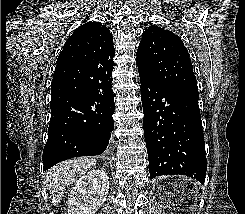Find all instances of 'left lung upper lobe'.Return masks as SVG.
Wrapping results in <instances>:
<instances>
[{"instance_id": "obj_1", "label": "left lung upper lobe", "mask_w": 245, "mask_h": 214, "mask_svg": "<svg viewBox=\"0 0 245 214\" xmlns=\"http://www.w3.org/2000/svg\"><path fill=\"white\" fill-rule=\"evenodd\" d=\"M136 56L142 76L167 85L198 88L187 48L173 32L150 26L142 34Z\"/></svg>"}]
</instances>
